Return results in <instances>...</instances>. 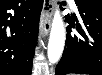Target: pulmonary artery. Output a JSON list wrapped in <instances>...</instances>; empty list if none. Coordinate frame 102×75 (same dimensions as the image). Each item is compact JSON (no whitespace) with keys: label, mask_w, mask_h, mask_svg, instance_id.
<instances>
[{"label":"pulmonary artery","mask_w":102,"mask_h":75,"mask_svg":"<svg viewBox=\"0 0 102 75\" xmlns=\"http://www.w3.org/2000/svg\"><path fill=\"white\" fill-rule=\"evenodd\" d=\"M70 5L74 6L75 5V1L74 0H69L68 1Z\"/></svg>","instance_id":"e3ab8cb5"}]
</instances>
